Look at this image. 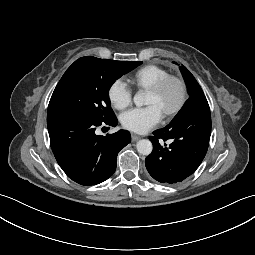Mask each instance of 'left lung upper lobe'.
<instances>
[{"label":"left lung upper lobe","mask_w":255,"mask_h":255,"mask_svg":"<svg viewBox=\"0 0 255 255\" xmlns=\"http://www.w3.org/2000/svg\"><path fill=\"white\" fill-rule=\"evenodd\" d=\"M179 68L186 82L190 98L196 95L204 94L200 85L198 84L194 76L190 73V71L185 66H181Z\"/></svg>","instance_id":"5c2ea615"}]
</instances>
